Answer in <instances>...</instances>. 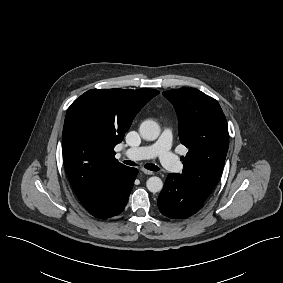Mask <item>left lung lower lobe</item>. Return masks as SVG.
<instances>
[{
  "label": "left lung lower lobe",
  "instance_id": "0a47b994",
  "mask_svg": "<svg viewBox=\"0 0 283 283\" xmlns=\"http://www.w3.org/2000/svg\"><path fill=\"white\" fill-rule=\"evenodd\" d=\"M179 174H169L158 198L160 212L172 219H185L203 206L204 201Z\"/></svg>",
  "mask_w": 283,
  "mask_h": 283
}]
</instances>
